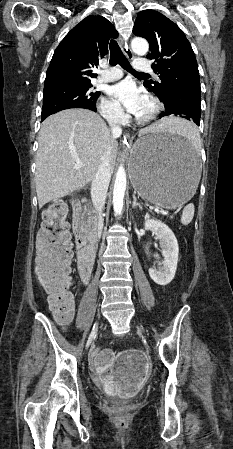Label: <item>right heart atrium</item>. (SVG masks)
<instances>
[{
    "label": "right heart atrium",
    "mask_w": 233,
    "mask_h": 449,
    "mask_svg": "<svg viewBox=\"0 0 233 449\" xmlns=\"http://www.w3.org/2000/svg\"><path fill=\"white\" fill-rule=\"evenodd\" d=\"M101 115L112 124H120L125 119V114L121 107L113 100L102 97L98 104Z\"/></svg>",
    "instance_id": "d8ad5b80"
}]
</instances>
